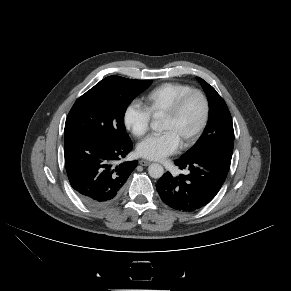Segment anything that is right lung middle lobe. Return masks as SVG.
I'll return each instance as SVG.
<instances>
[{"mask_svg":"<svg viewBox=\"0 0 291 291\" xmlns=\"http://www.w3.org/2000/svg\"><path fill=\"white\" fill-rule=\"evenodd\" d=\"M151 83L120 76L106 77L73 105L65 123V139L80 135L128 139L125 111Z\"/></svg>","mask_w":291,"mask_h":291,"instance_id":"dd1d6c3e","label":"right lung middle lobe"}]
</instances>
